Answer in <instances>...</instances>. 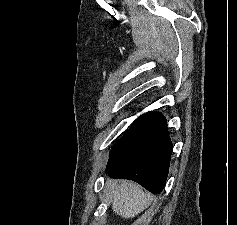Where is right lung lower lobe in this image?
<instances>
[{
  "instance_id": "98d812e1",
  "label": "right lung lower lobe",
  "mask_w": 237,
  "mask_h": 225,
  "mask_svg": "<svg viewBox=\"0 0 237 225\" xmlns=\"http://www.w3.org/2000/svg\"><path fill=\"white\" fill-rule=\"evenodd\" d=\"M172 143L166 120L152 112L139 117L112 147L106 173L115 179H129L159 194L165 185Z\"/></svg>"
}]
</instances>
